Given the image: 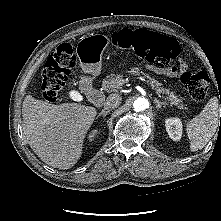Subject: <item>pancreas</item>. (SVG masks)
Segmentation results:
<instances>
[{"instance_id":"cf45deb5","label":"pancreas","mask_w":221,"mask_h":221,"mask_svg":"<svg viewBox=\"0 0 221 221\" xmlns=\"http://www.w3.org/2000/svg\"><path fill=\"white\" fill-rule=\"evenodd\" d=\"M131 72L135 75H142L139 77L142 81L146 82L152 89L156 91L158 95L166 94V100L171 104L177 106L179 109H187L186 105L182 103V100L175 96L174 92H170L169 89H166L162 84L152 78L150 75L139 72L138 68H133ZM125 80L121 74H111L107 76L106 79L102 81V87L104 90L108 91L110 89H118L124 84Z\"/></svg>"}]
</instances>
